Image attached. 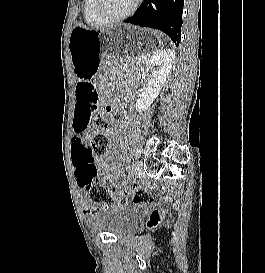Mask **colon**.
Segmentation results:
<instances>
[{
	"mask_svg": "<svg viewBox=\"0 0 265 273\" xmlns=\"http://www.w3.org/2000/svg\"><path fill=\"white\" fill-rule=\"evenodd\" d=\"M76 98L77 105L74 106L70 124L74 128V132H87L88 127L94 126L95 131L90 137L85 154L87 157L103 155L109 143L105 131L109 126L111 111L100 103L98 93L90 82H79ZM114 119L119 121L120 116L114 115ZM96 174L95 168L82 171L79 175V184L88 191L92 203L110 205L112 203L111 185L109 183L94 185ZM133 200L136 203H148L152 200V196L142 189H137L134 192ZM164 217L165 212L162 209H154L150 215L148 227H157Z\"/></svg>",
	"mask_w": 265,
	"mask_h": 273,
	"instance_id": "colon-1",
	"label": "colon"
}]
</instances>
